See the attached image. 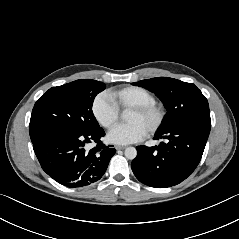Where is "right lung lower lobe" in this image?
Masks as SVG:
<instances>
[{
    "mask_svg": "<svg viewBox=\"0 0 239 239\" xmlns=\"http://www.w3.org/2000/svg\"><path fill=\"white\" fill-rule=\"evenodd\" d=\"M104 135L100 126L85 132L52 130L32 143L42 169L58 183L75 188L94 183L105 173L116 150L102 144ZM91 142L96 146L87 150Z\"/></svg>",
    "mask_w": 239,
    "mask_h": 239,
    "instance_id": "right-lung-lower-lobe-1",
    "label": "right lung lower lobe"
}]
</instances>
